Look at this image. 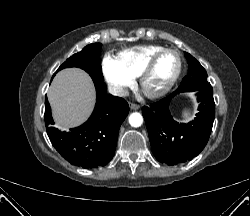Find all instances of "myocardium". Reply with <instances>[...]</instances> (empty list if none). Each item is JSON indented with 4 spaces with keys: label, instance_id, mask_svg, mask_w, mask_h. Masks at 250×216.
Returning a JSON list of instances; mask_svg holds the SVG:
<instances>
[{
    "label": "myocardium",
    "instance_id": "obj_1",
    "mask_svg": "<svg viewBox=\"0 0 250 216\" xmlns=\"http://www.w3.org/2000/svg\"><path fill=\"white\" fill-rule=\"evenodd\" d=\"M165 53H174L177 56L178 59V67L177 70L174 74V76L172 77V79L169 81V83L160 91L157 92H147L144 89V83L145 80L147 78V76L149 75V73L151 72V70L153 69L156 61L158 60V58L165 54ZM182 68H183V60H182V56L180 54V52L176 49L173 48H163L161 50H159L158 52L154 53L149 60L146 62V64L144 65V67L142 68L140 74H139V85L142 89V91L144 92V94L151 99H157V98H161L163 96H165L176 84V82L178 81L181 73H182Z\"/></svg>",
    "mask_w": 250,
    "mask_h": 216
}]
</instances>
